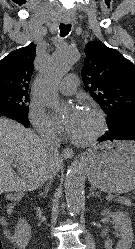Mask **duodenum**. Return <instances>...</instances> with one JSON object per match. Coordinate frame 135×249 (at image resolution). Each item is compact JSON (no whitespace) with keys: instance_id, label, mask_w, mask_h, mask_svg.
Wrapping results in <instances>:
<instances>
[{"instance_id":"1","label":"duodenum","mask_w":135,"mask_h":249,"mask_svg":"<svg viewBox=\"0 0 135 249\" xmlns=\"http://www.w3.org/2000/svg\"><path fill=\"white\" fill-rule=\"evenodd\" d=\"M10 200L15 206H17V204L21 202V196L18 194L11 195Z\"/></svg>"}]
</instances>
